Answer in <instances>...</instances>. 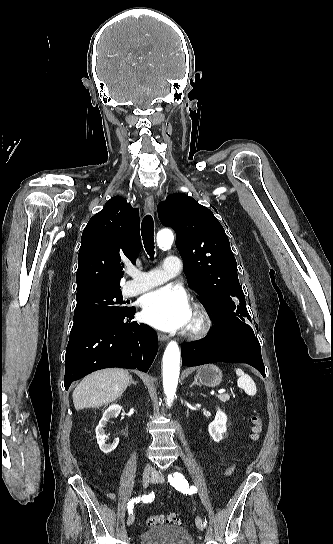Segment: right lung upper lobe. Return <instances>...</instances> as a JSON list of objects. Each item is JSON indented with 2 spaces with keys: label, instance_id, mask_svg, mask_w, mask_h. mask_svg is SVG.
<instances>
[{
  "label": "right lung upper lobe",
  "instance_id": "cb5924a9",
  "mask_svg": "<svg viewBox=\"0 0 333 544\" xmlns=\"http://www.w3.org/2000/svg\"><path fill=\"white\" fill-rule=\"evenodd\" d=\"M139 211L115 196L86 225L78 254L76 299L120 290L125 262L140 251Z\"/></svg>",
  "mask_w": 333,
  "mask_h": 544
}]
</instances>
